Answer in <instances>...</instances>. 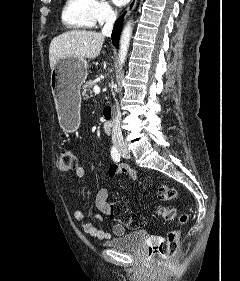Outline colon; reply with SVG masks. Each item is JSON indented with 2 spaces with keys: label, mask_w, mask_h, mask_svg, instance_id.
Here are the masks:
<instances>
[{
  "label": "colon",
  "mask_w": 240,
  "mask_h": 281,
  "mask_svg": "<svg viewBox=\"0 0 240 281\" xmlns=\"http://www.w3.org/2000/svg\"><path fill=\"white\" fill-rule=\"evenodd\" d=\"M77 167V157L70 149H62L57 157V168L61 172H69ZM176 189L169 185L161 184L157 187V196L162 201L173 200L177 197ZM154 213L165 220L171 221L176 217V209L169 207H156ZM108 217L111 220L125 224L129 228H142L146 225V218L140 214L131 213L124 202L110 204ZM188 221V214L182 213L179 224L182 226ZM181 240L180 228L168 232L166 240L159 242L152 250L154 262L158 267H167L173 256L177 253Z\"/></svg>",
  "instance_id": "1"
}]
</instances>
